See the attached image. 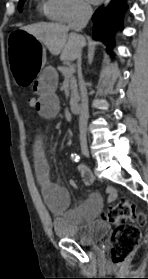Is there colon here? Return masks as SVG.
<instances>
[{
	"label": "colon",
	"mask_w": 148,
	"mask_h": 279,
	"mask_svg": "<svg viewBox=\"0 0 148 279\" xmlns=\"http://www.w3.org/2000/svg\"><path fill=\"white\" fill-rule=\"evenodd\" d=\"M27 103L29 107L36 109L38 99L30 96ZM103 220L116 225L110 238V252L112 261L120 264L137 248L141 238L139 224L145 221V216L136 212L135 204L131 200L123 199L103 215Z\"/></svg>",
	"instance_id": "obj_1"
}]
</instances>
